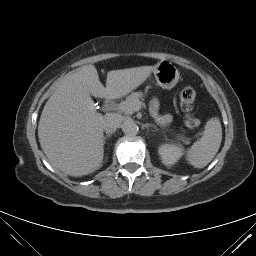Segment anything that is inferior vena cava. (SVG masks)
Segmentation results:
<instances>
[{
    "label": "inferior vena cava",
    "instance_id": "inferior-vena-cava-1",
    "mask_svg": "<svg viewBox=\"0 0 256 256\" xmlns=\"http://www.w3.org/2000/svg\"><path fill=\"white\" fill-rule=\"evenodd\" d=\"M121 123V117L116 113H108L104 116L103 128L106 133H113L119 127Z\"/></svg>",
    "mask_w": 256,
    "mask_h": 256
}]
</instances>
